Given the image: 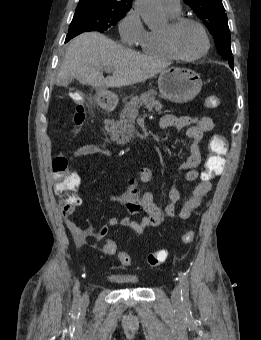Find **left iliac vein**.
<instances>
[{
    "label": "left iliac vein",
    "mask_w": 261,
    "mask_h": 340,
    "mask_svg": "<svg viewBox=\"0 0 261 340\" xmlns=\"http://www.w3.org/2000/svg\"><path fill=\"white\" fill-rule=\"evenodd\" d=\"M171 298H172V301L175 303L180 302L181 300V286L180 285H176L175 288L172 290Z\"/></svg>",
    "instance_id": "1"
}]
</instances>
